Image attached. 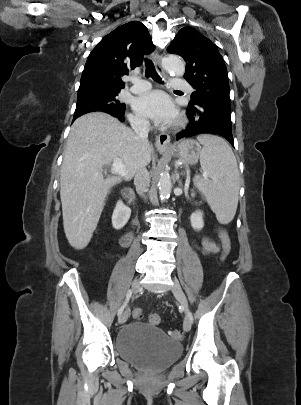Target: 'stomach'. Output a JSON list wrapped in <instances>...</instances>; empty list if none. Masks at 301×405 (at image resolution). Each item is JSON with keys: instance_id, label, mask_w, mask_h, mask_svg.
<instances>
[{"instance_id": "0dacf381", "label": "stomach", "mask_w": 301, "mask_h": 405, "mask_svg": "<svg viewBox=\"0 0 301 405\" xmlns=\"http://www.w3.org/2000/svg\"><path fill=\"white\" fill-rule=\"evenodd\" d=\"M161 153H169L179 160L188 163L196 164L202 152L201 146L195 140H182L168 149H159Z\"/></svg>"}]
</instances>
